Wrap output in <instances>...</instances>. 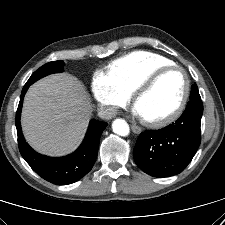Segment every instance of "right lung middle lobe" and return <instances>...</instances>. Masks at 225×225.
Listing matches in <instances>:
<instances>
[{
	"mask_svg": "<svg viewBox=\"0 0 225 225\" xmlns=\"http://www.w3.org/2000/svg\"><path fill=\"white\" fill-rule=\"evenodd\" d=\"M62 70H63V61L62 60L49 62V63L41 66L37 71H35L27 82L29 84H32L35 81H37L38 79H40L46 75H49L52 73H58V72H61Z\"/></svg>",
	"mask_w": 225,
	"mask_h": 225,
	"instance_id": "obj_1",
	"label": "right lung middle lobe"
}]
</instances>
